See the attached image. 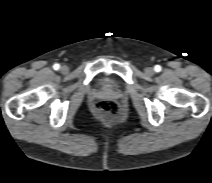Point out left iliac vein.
Returning <instances> with one entry per match:
<instances>
[{
    "instance_id": "4c4485c4",
    "label": "left iliac vein",
    "mask_w": 212,
    "mask_h": 183,
    "mask_svg": "<svg viewBox=\"0 0 212 183\" xmlns=\"http://www.w3.org/2000/svg\"><path fill=\"white\" fill-rule=\"evenodd\" d=\"M145 74L148 76H152L154 74V69L152 67H146Z\"/></svg>"
}]
</instances>
